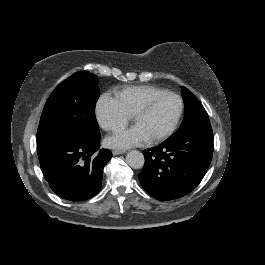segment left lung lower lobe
Wrapping results in <instances>:
<instances>
[{
    "instance_id": "0a47b994",
    "label": "left lung lower lobe",
    "mask_w": 265,
    "mask_h": 265,
    "mask_svg": "<svg viewBox=\"0 0 265 265\" xmlns=\"http://www.w3.org/2000/svg\"><path fill=\"white\" fill-rule=\"evenodd\" d=\"M143 153L145 164L139 174L143 188L161 201L183 197L197 187L210 165L213 155L211 124L173 135Z\"/></svg>"
}]
</instances>
